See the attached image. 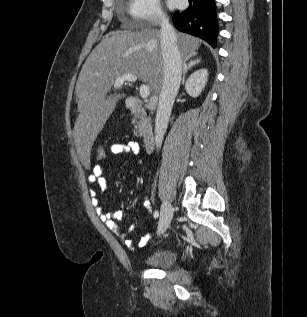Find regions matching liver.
<instances>
[{
    "label": "liver",
    "mask_w": 307,
    "mask_h": 317,
    "mask_svg": "<svg viewBox=\"0 0 307 317\" xmlns=\"http://www.w3.org/2000/svg\"><path fill=\"white\" fill-rule=\"evenodd\" d=\"M176 37L183 60L196 55L201 40L180 32ZM125 73L136 75L153 94L161 91L164 76L158 29L110 32L83 64L75 89L79 115L73 138L79 163L86 170L92 163L91 146L121 98L107 93Z\"/></svg>",
    "instance_id": "1"
}]
</instances>
